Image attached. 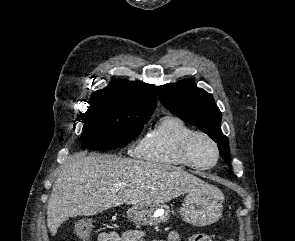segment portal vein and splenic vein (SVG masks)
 I'll return each mask as SVG.
<instances>
[{
  "label": "portal vein and splenic vein",
  "mask_w": 295,
  "mask_h": 241,
  "mask_svg": "<svg viewBox=\"0 0 295 241\" xmlns=\"http://www.w3.org/2000/svg\"><path fill=\"white\" fill-rule=\"evenodd\" d=\"M125 187H126L125 184H118V185L116 186V189L119 190V189H123V188H125Z\"/></svg>",
  "instance_id": "18ae733b"
}]
</instances>
